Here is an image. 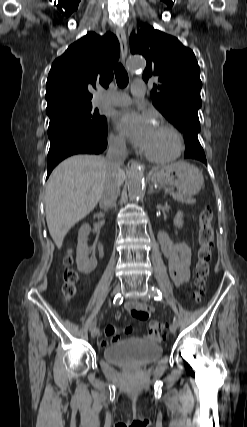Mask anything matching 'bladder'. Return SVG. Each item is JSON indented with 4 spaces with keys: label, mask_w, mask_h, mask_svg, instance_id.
Returning a JSON list of instances; mask_svg holds the SVG:
<instances>
[{
    "label": "bladder",
    "mask_w": 247,
    "mask_h": 427,
    "mask_svg": "<svg viewBox=\"0 0 247 427\" xmlns=\"http://www.w3.org/2000/svg\"><path fill=\"white\" fill-rule=\"evenodd\" d=\"M162 355L159 344L142 340H124L104 348L106 361L129 368L144 367Z\"/></svg>",
    "instance_id": "bladder-1"
}]
</instances>
